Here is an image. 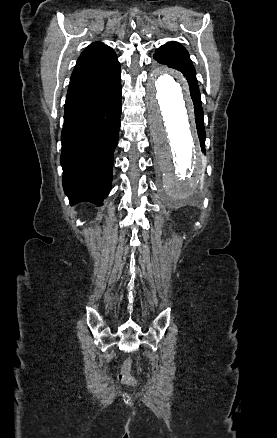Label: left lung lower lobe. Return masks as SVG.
<instances>
[{
  "label": "left lung lower lobe",
  "instance_id": "0a47b994",
  "mask_svg": "<svg viewBox=\"0 0 277 438\" xmlns=\"http://www.w3.org/2000/svg\"><path fill=\"white\" fill-rule=\"evenodd\" d=\"M196 127L198 132V137L200 140V145L202 151L205 153L204 143H205V130L203 125V113H195Z\"/></svg>",
  "mask_w": 277,
  "mask_h": 438
}]
</instances>
